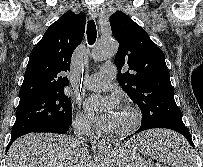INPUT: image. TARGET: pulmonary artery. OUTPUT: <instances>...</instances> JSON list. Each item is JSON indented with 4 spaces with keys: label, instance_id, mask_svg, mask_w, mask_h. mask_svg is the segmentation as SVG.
I'll use <instances>...</instances> for the list:
<instances>
[{
    "label": "pulmonary artery",
    "instance_id": "obj_1",
    "mask_svg": "<svg viewBox=\"0 0 203 167\" xmlns=\"http://www.w3.org/2000/svg\"><path fill=\"white\" fill-rule=\"evenodd\" d=\"M116 75V67L113 64H105L100 72L91 75L85 82V86L91 90H101L108 86Z\"/></svg>",
    "mask_w": 203,
    "mask_h": 167
}]
</instances>
